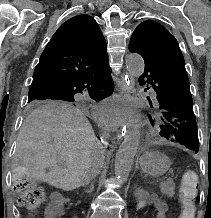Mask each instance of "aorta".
<instances>
[{
  "mask_svg": "<svg viewBox=\"0 0 211 218\" xmlns=\"http://www.w3.org/2000/svg\"><path fill=\"white\" fill-rule=\"evenodd\" d=\"M144 60L138 54H130L126 58V68L132 77L138 78L144 73ZM140 143V131H131L119 148L114 165V172L119 183L127 181L137 149Z\"/></svg>",
  "mask_w": 211,
  "mask_h": 218,
  "instance_id": "obj_1",
  "label": "aorta"
}]
</instances>
